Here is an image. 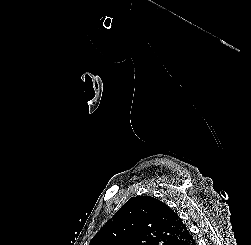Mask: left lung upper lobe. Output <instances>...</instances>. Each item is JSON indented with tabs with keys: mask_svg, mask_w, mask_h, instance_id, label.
<instances>
[{
	"mask_svg": "<svg viewBox=\"0 0 251 245\" xmlns=\"http://www.w3.org/2000/svg\"><path fill=\"white\" fill-rule=\"evenodd\" d=\"M186 228L162 201L136 196L116 212L89 245H172Z\"/></svg>",
	"mask_w": 251,
	"mask_h": 245,
	"instance_id": "1",
	"label": "left lung upper lobe"
}]
</instances>
